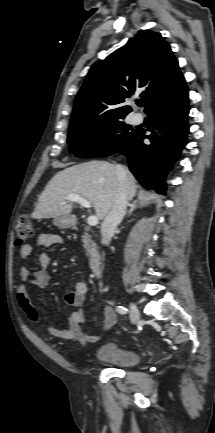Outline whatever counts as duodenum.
Returning a JSON list of instances; mask_svg holds the SVG:
<instances>
[{
	"instance_id": "obj_1",
	"label": "duodenum",
	"mask_w": 215,
	"mask_h": 433,
	"mask_svg": "<svg viewBox=\"0 0 215 433\" xmlns=\"http://www.w3.org/2000/svg\"><path fill=\"white\" fill-rule=\"evenodd\" d=\"M90 271L96 278L101 277V258L98 255H93L90 260Z\"/></svg>"
}]
</instances>
